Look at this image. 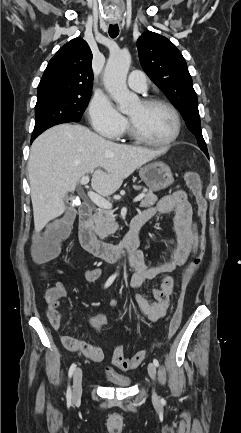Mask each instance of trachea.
I'll return each mask as SVG.
<instances>
[{
	"label": "trachea",
	"instance_id": "1",
	"mask_svg": "<svg viewBox=\"0 0 241 433\" xmlns=\"http://www.w3.org/2000/svg\"><path fill=\"white\" fill-rule=\"evenodd\" d=\"M119 34V27L117 24L109 25V35L111 38H116Z\"/></svg>",
	"mask_w": 241,
	"mask_h": 433
}]
</instances>
